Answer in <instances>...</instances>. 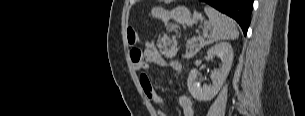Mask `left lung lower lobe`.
<instances>
[{
	"label": "left lung lower lobe",
	"mask_w": 305,
	"mask_h": 116,
	"mask_svg": "<svg viewBox=\"0 0 305 116\" xmlns=\"http://www.w3.org/2000/svg\"><path fill=\"white\" fill-rule=\"evenodd\" d=\"M212 7L234 18L246 35L254 0H202Z\"/></svg>",
	"instance_id": "obj_1"
}]
</instances>
